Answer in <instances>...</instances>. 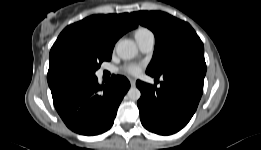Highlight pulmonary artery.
Returning a JSON list of instances; mask_svg holds the SVG:
<instances>
[{
	"instance_id": "1",
	"label": "pulmonary artery",
	"mask_w": 261,
	"mask_h": 150,
	"mask_svg": "<svg viewBox=\"0 0 261 150\" xmlns=\"http://www.w3.org/2000/svg\"><path fill=\"white\" fill-rule=\"evenodd\" d=\"M139 49L143 53H149L153 50L155 44V36L151 31H146L135 37Z\"/></svg>"
}]
</instances>
